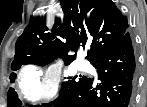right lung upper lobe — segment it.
I'll return each instance as SVG.
<instances>
[{
  "instance_id": "obj_1",
  "label": "right lung upper lobe",
  "mask_w": 147,
  "mask_h": 107,
  "mask_svg": "<svg viewBox=\"0 0 147 107\" xmlns=\"http://www.w3.org/2000/svg\"><path fill=\"white\" fill-rule=\"evenodd\" d=\"M61 7L65 16L55 20L52 37L45 19H30L16 42L11 67L28 61L43 66L58 57L67 65L86 45V59L93 64L127 32V19L111 0H62Z\"/></svg>"
}]
</instances>
